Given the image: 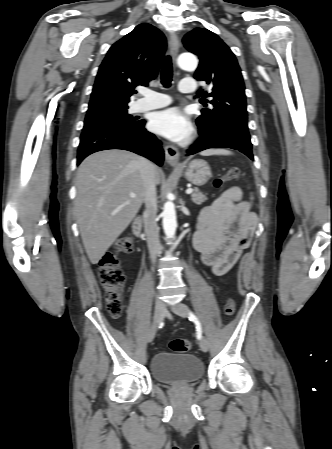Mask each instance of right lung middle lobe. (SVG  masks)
Segmentation results:
<instances>
[{
  "instance_id": "right-lung-middle-lobe-1",
  "label": "right lung middle lobe",
  "mask_w": 332,
  "mask_h": 449,
  "mask_svg": "<svg viewBox=\"0 0 332 449\" xmlns=\"http://www.w3.org/2000/svg\"><path fill=\"white\" fill-rule=\"evenodd\" d=\"M127 109L128 107L87 112L82 131L86 132L98 128L129 129L143 121H136V118L128 114Z\"/></svg>"
}]
</instances>
